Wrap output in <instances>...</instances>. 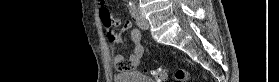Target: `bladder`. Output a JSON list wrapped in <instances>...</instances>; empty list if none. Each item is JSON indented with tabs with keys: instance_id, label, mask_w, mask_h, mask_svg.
I'll list each match as a JSON object with an SVG mask.
<instances>
[{
	"instance_id": "obj_1",
	"label": "bladder",
	"mask_w": 279,
	"mask_h": 82,
	"mask_svg": "<svg viewBox=\"0 0 279 82\" xmlns=\"http://www.w3.org/2000/svg\"><path fill=\"white\" fill-rule=\"evenodd\" d=\"M116 82H154L140 72H122L114 77Z\"/></svg>"
}]
</instances>
